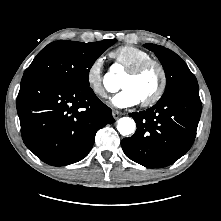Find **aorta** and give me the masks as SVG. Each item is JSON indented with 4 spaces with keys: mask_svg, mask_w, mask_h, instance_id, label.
Segmentation results:
<instances>
[{
    "mask_svg": "<svg viewBox=\"0 0 221 221\" xmlns=\"http://www.w3.org/2000/svg\"><path fill=\"white\" fill-rule=\"evenodd\" d=\"M114 73L115 72L108 73L104 78V85L109 90H112V87L118 88L117 86L118 78ZM135 128L136 124L134 120L130 117H123L118 120L117 130L123 136H127L134 133Z\"/></svg>",
    "mask_w": 221,
    "mask_h": 221,
    "instance_id": "aorta-1",
    "label": "aorta"
}]
</instances>
